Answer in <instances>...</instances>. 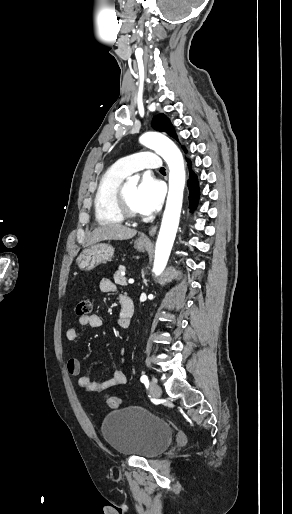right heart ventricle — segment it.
Instances as JSON below:
<instances>
[{
	"mask_svg": "<svg viewBox=\"0 0 292 514\" xmlns=\"http://www.w3.org/2000/svg\"><path fill=\"white\" fill-rule=\"evenodd\" d=\"M125 178L113 169L107 170L100 178L93 198V212L98 224L107 225L123 222V218L113 208L112 196Z\"/></svg>",
	"mask_w": 292,
	"mask_h": 514,
	"instance_id": "obj_1",
	"label": "right heart ventricle"
}]
</instances>
